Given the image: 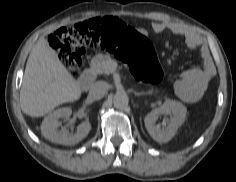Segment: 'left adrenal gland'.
<instances>
[{"label": "left adrenal gland", "mask_w": 236, "mask_h": 182, "mask_svg": "<svg viewBox=\"0 0 236 182\" xmlns=\"http://www.w3.org/2000/svg\"><path fill=\"white\" fill-rule=\"evenodd\" d=\"M135 96H140V95H147L149 94L148 92H136V91H133Z\"/></svg>", "instance_id": "left-adrenal-gland-1"}]
</instances>
